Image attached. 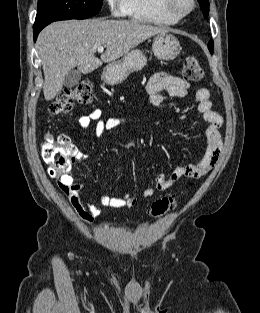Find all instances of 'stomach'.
I'll use <instances>...</instances> for the list:
<instances>
[{"mask_svg": "<svg viewBox=\"0 0 260 313\" xmlns=\"http://www.w3.org/2000/svg\"><path fill=\"white\" fill-rule=\"evenodd\" d=\"M154 55L163 60L175 59L181 51L178 39L169 33H158L152 44ZM145 55L138 49L128 52L121 60L109 63L103 70L102 79L109 85L122 83L132 72L144 68Z\"/></svg>", "mask_w": 260, "mask_h": 313, "instance_id": "stomach-1", "label": "stomach"}]
</instances>
